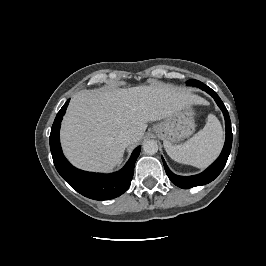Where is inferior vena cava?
<instances>
[{"label":"inferior vena cava","instance_id":"inferior-vena-cava-1","mask_svg":"<svg viewBox=\"0 0 266 266\" xmlns=\"http://www.w3.org/2000/svg\"><path fill=\"white\" fill-rule=\"evenodd\" d=\"M120 139L125 145H129L132 141V135L130 133L124 132L120 134Z\"/></svg>","mask_w":266,"mask_h":266}]
</instances>
